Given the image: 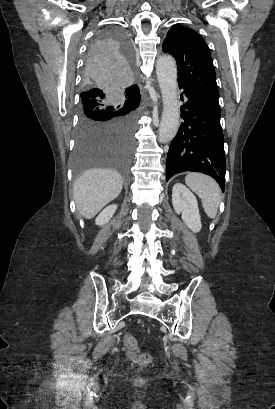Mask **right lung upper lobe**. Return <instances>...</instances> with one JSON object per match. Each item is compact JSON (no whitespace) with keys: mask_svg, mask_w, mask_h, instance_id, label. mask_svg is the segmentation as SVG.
<instances>
[{"mask_svg":"<svg viewBox=\"0 0 275 409\" xmlns=\"http://www.w3.org/2000/svg\"><path fill=\"white\" fill-rule=\"evenodd\" d=\"M125 93H126V95H125L126 98L140 100L139 88H138V86L136 84L127 87L125 89Z\"/></svg>","mask_w":275,"mask_h":409,"instance_id":"right-lung-upper-lobe-1","label":"right lung upper lobe"}]
</instances>
